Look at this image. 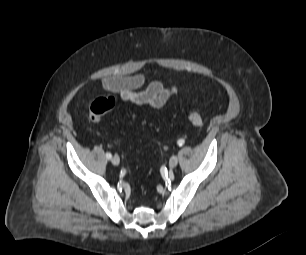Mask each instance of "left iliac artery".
<instances>
[{"mask_svg": "<svg viewBox=\"0 0 306 255\" xmlns=\"http://www.w3.org/2000/svg\"><path fill=\"white\" fill-rule=\"evenodd\" d=\"M184 143H185L184 139H179L178 142H177V144H178L179 146L184 145Z\"/></svg>", "mask_w": 306, "mask_h": 255, "instance_id": "obj_1", "label": "left iliac artery"}]
</instances>
